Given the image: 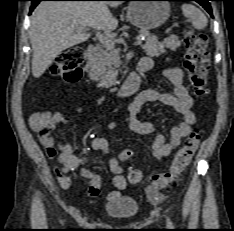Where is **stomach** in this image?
Masks as SVG:
<instances>
[{
    "mask_svg": "<svg viewBox=\"0 0 234 231\" xmlns=\"http://www.w3.org/2000/svg\"><path fill=\"white\" fill-rule=\"evenodd\" d=\"M127 19L141 31H149L163 25L170 16V4L163 0L130 2Z\"/></svg>",
    "mask_w": 234,
    "mask_h": 231,
    "instance_id": "obj_1",
    "label": "stomach"
}]
</instances>
